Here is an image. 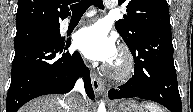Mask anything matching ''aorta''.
<instances>
[{"label":"aorta","mask_w":193,"mask_h":112,"mask_svg":"<svg viewBox=\"0 0 193 112\" xmlns=\"http://www.w3.org/2000/svg\"><path fill=\"white\" fill-rule=\"evenodd\" d=\"M98 112H106L105 104L102 101L99 104Z\"/></svg>","instance_id":"762f6f07"}]
</instances>
